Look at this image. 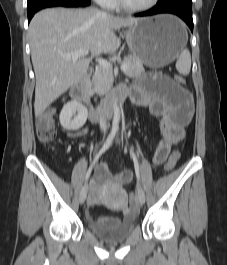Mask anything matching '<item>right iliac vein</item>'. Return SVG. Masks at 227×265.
Returning a JSON list of instances; mask_svg holds the SVG:
<instances>
[{
    "label": "right iliac vein",
    "mask_w": 227,
    "mask_h": 265,
    "mask_svg": "<svg viewBox=\"0 0 227 265\" xmlns=\"http://www.w3.org/2000/svg\"><path fill=\"white\" fill-rule=\"evenodd\" d=\"M87 191H88V186H87V184H85V185L82 187V189H81V191H80V195H79V201H80L81 204L84 203V201H85V199H86Z\"/></svg>",
    "instance_id": "1"
}]
</instances>
